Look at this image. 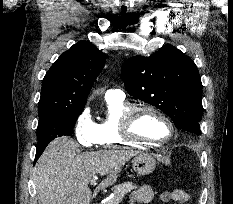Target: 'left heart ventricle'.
<instances>
[{
    "mask_svg": "<svg viewBox=\"0 0 233 204\" xmlns=\"http://www.w3.org/2000/svg\"><path fill=\"white\" fill-rule=\"evenodd\" d=\"M133 131L140 137L156 141L165 139L169 133L166 123L148 111L140 112L136 116Z\"/></svg>",
    "mask_w": 233,
    "mask_h": 204,
    "instance_id": "obj_1",
    "label": "left heart ventricle"
}]
</instances>
